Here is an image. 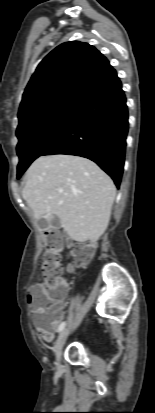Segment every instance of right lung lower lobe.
I'll return each mask as SVG.
<instances>
[{
    "label": "right lung lower lobe",
    "mask_w": 155,
    "mask_h": 413,
    "mask_svg": "<svg viewBox=\"0 0 155 413\" xmlns=\"http://www.w3.org/2000/svg\"><path fill=\"white\" fill-rule=\"evenodd\" d=\"M128 111L118 76L78 103L66 128L42 155L68 154L91 159L120 186Z\"/></svg>",
    "instance_id": "98d812e1"
}]
</instances>
